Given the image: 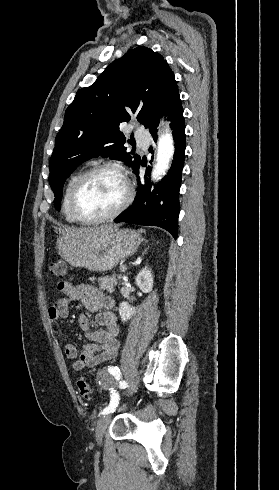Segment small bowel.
Segmentation results:
<instances>
[{
	"instance_id": "c3829d8e",
	"label": "small bowel",
	"mask_w": 279,
	"mask_h": 490,
	"mask_svg": "<svg viewBox=\"0 0 279 490\" xmlns=\"http://www.w3.org/2000/svg\"><path fill=\"white\" fill-rule=\"evenodd\" d=\"M63 295L58 298L48 309V318L56 334L62 335L59 321L67 317L69 305L73 301H79L84 308L94 314V322L87 314H81L78 318L80 328L90 340L81 353H78L72 343H66L64 347L66 357L72 361V368L76 371L85 367H93L104 361L115 358L118 354V335L120 325L118 318L112 311L115 301L105 295L100 289L90 284L73 285L67 281L58 283Z\"/></svg>"
}]
</instances>
